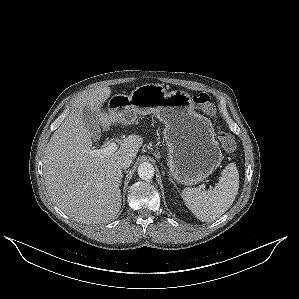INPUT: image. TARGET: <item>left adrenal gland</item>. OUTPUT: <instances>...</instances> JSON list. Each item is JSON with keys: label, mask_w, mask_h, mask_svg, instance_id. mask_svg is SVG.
Here are the masks:
<instances>
[{"label": "left adrenal gland", "mask_w": 299, "mask_h": 299, "mask_svg": "<svg viewBox=\"0 0 299 299\" xmlns=\"http://www.w3.org/2000/svg\"><path fill=\"white\" fill-rule=\"evenodd\" d=\"M171 180V182L174 184V182L172 181V179H170ZM174 186L176 187V185L174 184Z\"/></svg>", "instance_id": "left-adrenal-gland-1"}]
</instances>
